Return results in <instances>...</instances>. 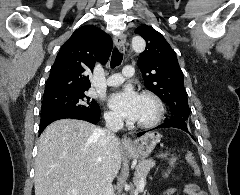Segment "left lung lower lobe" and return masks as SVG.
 Returning a JSON list of instances; mask_svg holds the SVG:
<instances>
[{
	"label": "left lung lower lobe",
	"mask_w": 240,
	"mask_h": 195,
	"mask_svg": "<svg viewBox=\"0 0 240 195\" xmlns=\"http://www.w3.org/2000/svg\"><path fill=\"white\" fill-rule=\"evenodd\" d=\"M168 127L178 128V129H181L185 132H189V126H184V125H181V124H176V123H171V122H165L164 124L159 125L156 128H168ZM156 128H154V129H156ZM144 133L145 132H140V133L137 134V136H141Z\"/></svg>",
	"instance_id": "obj_1"
}]
</instances>
